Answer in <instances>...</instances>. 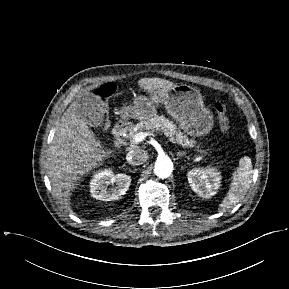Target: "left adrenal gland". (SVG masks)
<instances>
[{
    "label": "left adrenal gland",
    "instance_id": "a2214340",
    "mask_svg": "<svg viewBox=\"0 0 289 289\" xmlns=\"http://www.w3.org/2000/svg\"><path fill=\"white\" fill-rule=\"evenodd\" d=\"M183 153L182 152H178L177 156H182Z\"/></svg>",
    "mask_w": 289,
    "mask_h": 289
}]
</instances>
